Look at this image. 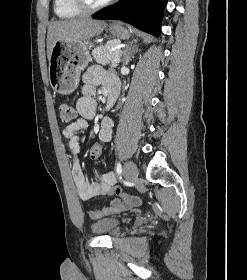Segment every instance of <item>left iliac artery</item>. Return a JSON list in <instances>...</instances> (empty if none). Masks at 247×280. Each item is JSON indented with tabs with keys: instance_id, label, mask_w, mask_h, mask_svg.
Here are the masks:
<instances>
[{
	"instance_id": "left-iliac-artery-1",
	"label": "left iliac artery",
	"mask_w": 247,
	"mask_h": 280,
	"mask_svg": "<svg viewBox=\"0 0 247 280\" xmlns=\"http://www.w3.org/2000/svg\"><path fill=\"white\" fill-rule=\"evenodd\" d=\"M116 172H117V174H118V175H120V174H121V172H122V166H121V164H120V163H117V166H116Z\"/></svg>"
}]
</instances>
